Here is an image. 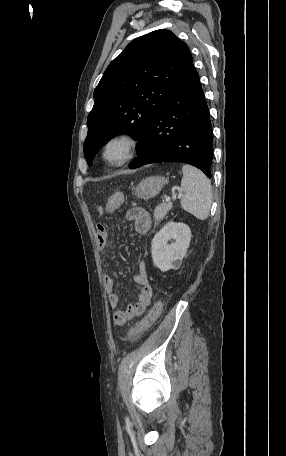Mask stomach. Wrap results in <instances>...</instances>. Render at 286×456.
<instances>
[{
  "label": "stomach",
  "instance_id": "stomach-1",
  "mask_svg": "<svg viewBox=\"0 0 286 456\" xmlns=\"http://www.w3.org/2000/svg\"><path fill=\"white\" fill-rule=\"evenodd\" d=\"M164 177L151 176L143 179L134 189V194L139 199H151L155 197L165 185Z\"/></svg>",
  "mask_w": 286,
  "mask_h": 456
}]
</instances>
